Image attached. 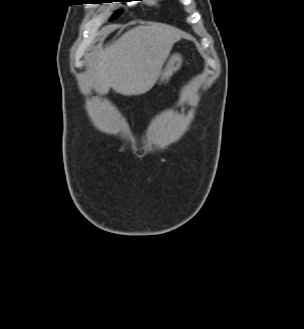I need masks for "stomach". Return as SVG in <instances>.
Returning a JSON list of instances; mask_svg holds the SVG:
<instances>
[{"label":"stomach","mask_w":304,"mask_h":329,"mask_svg":"<svg viewBox=\"0 0 304 329\" xmlns=\"http://www.w3.org/2000/svg\"><path fill=\"white\" fill-rule=\"evenodd\" d=\"M182 61L180 54L171 55L165 69L161 72L160 83L167 81L181 67Z\"/></svg>","instance_id":"0dacf381"}]
</instances>
